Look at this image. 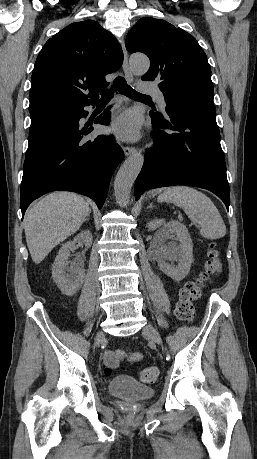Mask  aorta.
I'll return each instance as SVG.
<instances>
[{"mask_svg":"<svg viewBox=\"0 0 257 459\" xmlns=\"http://www.w3.org/2000/svg\"><path fill=\"white\" fill-rule=\"evenodd\" d=\"M130 66L134 73L142 75L148 71L150 61L144 55H133L130 58ZM143 162V155L136 152L127 158L120 167L114 181V194L120 206H127L129 203L132 186L142 168Z\"/></svg>","mask_w":257,"mask_h":459,"instance_id":"762f6f07","label":"aorta"}]
</instances>
